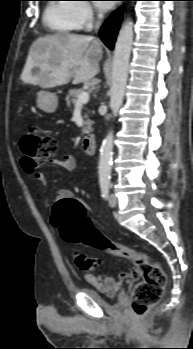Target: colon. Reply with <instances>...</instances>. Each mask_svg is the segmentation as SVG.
Listing matches in <instances>:
<instances>
[{
  "mask_svg": "<svg viewBox=\"0 0 193 349\" xmlns=\"http://www.w3.org/2000/svg\"><path fill=\"white\" fill-rule=\"evenodd\" d=\"M20 150L25 163L32 169L53 157L57 152L56 140L31 128L20 140ZM51 221L69 243H85L104 253L131 260L142 276L135 287L131 310L135 315H143L162 298L166 285V274L162 267L147 255L127 246L115 243L103 236L86 217L84 206L76 200H63L54 205ZM75 262L84 271L93 270L97 259L77 252Z\"/></svg>",
  "mask_w": 193,
  "mask_h": 349,
  "instance_id": "5ec220e1",
  "label": "colon"
}]
</instances>
